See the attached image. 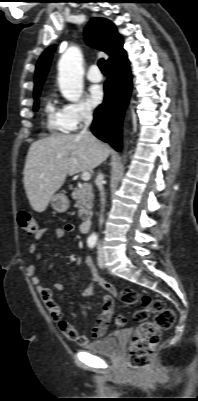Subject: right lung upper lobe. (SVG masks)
<instances>
[{
    "mask_svg": "<svg viewBox=\"0 0 198 401\" xmlns=\"http://www.w3.org/2000/svg\"><path fill=\"white\" fill-rule=\"evenodd\" d=\"M85 36L91 46L110 56L108 63L124 52L122 37L117 32L115 25L107 19L93 18L85 29ZM54 50L55 46L47 48L37 62L34 95L41 91Z\"/></svg>",
    "mask_w": 198,
    "mask_h": 401,
    "instance_id": "cb5924a9",
    "label": "right lung upper lobe"
}]
</instances>
